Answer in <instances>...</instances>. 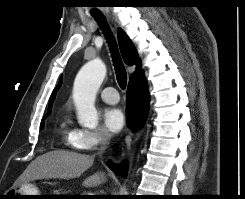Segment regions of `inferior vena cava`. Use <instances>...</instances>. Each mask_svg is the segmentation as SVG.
Wrapping results in <instances>:
<instances>
[{
	"label": "inferior vena cava",
	"mask_w": 245,
	"mask_h": 199,
	"mask_svg": "<svg viewBox=\"0 0 245 199\" xmlns=\"http://www.w3.org/2000/svg\"><path fill=\"white\" fill-rule=\"evenodd\" d=\"M111 137V134L108 131H104L101 137V148L100 153H102L106 146L109 144V139Z\"/></svg>",
	"instance_id": "inferior-vena-cava-1"
}]
</instances>
